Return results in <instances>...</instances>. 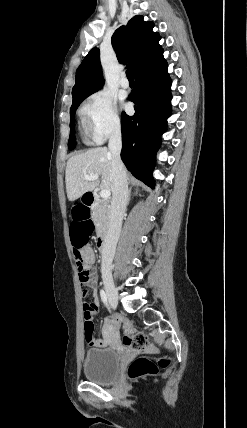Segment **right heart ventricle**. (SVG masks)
Segmentation results:
<instances>
[{
    "instance_id": "right-heart-ventricle-1",
    "label": "right heart ventricle",
    "mask_w": 247,
    "mask_h": 428,
    "mask_svg": "<svg viewBox=\"0 0 247 428\" xmlns=\"http://www.w3.org/2000/svg\"><path fill=\"white\" fill-rule=\"evenodd\" d=\"M79 125H80V133H81L82 139L84 142L88 143L91 137V133L89 128V122L84 111L81 112L80 114Z\"/></svg>"
}]
</instances>
